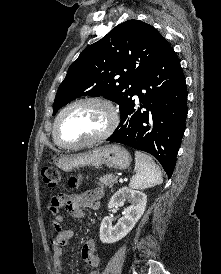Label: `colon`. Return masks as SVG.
Here are the masks:
<instances>
[{
  "label": "colon",
  "instance_id": "5ec220e1",
  "mask_svg": "<svg viewBox=\"0 0 221 274\" xmlns=\"http://www.w3.org/2000/svg\"><path fill=\"white\" fill-rule=\"evenodd\" d=\"M42 178L44 184L49 188H54L61 180V172L55 167H45L42 170ZM79 183L78 178L73 177L70 179L69 185L71 188H75Z\"/></svg>",
  "mask_w": 221,
  "mask_h": 274
}]
</instances>
